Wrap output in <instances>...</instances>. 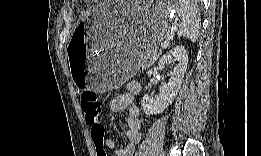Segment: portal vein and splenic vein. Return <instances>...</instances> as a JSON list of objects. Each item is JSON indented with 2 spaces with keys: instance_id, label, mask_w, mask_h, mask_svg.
Returning a JSON list of instances; mask_svg holds the SVG:
<instances>
[{
  "instance_id": "portal-vein-and-splenic-vein-1",
  "label": "portal vein and splenic vein",
  "mask_w": 261,
  "mask_h": 156,
  "mask_svg": "<svg viewBox=\"0 0 261 156\" xmlns=\"http://www.w3.org/2000/svg\"><path fill=\"white\" fill-rule=\"evenodd\" d=\"M168 46V40H165L164 43L162 44V48H165Z\"/></svg>"
}]
</instances>
